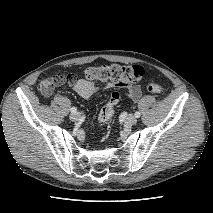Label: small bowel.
Returning <instances> with one entry per match:
<instances>
[{
  "mask_svg": "<svg viewBox=\"0 0 213 213\" xmlns=\"http://www.w3.org/2000/svg\"><path fill=\"white\" fill-rule=\"evenodd\" d=\"M63 83H57L54 81H49L45 85H40L41 93L44 96H51L55 88ZM71 88L83 99H88L93 93L100 89H110L115 86L112 82L98 83L88 79H77L68 83ZM141 91L138 86L129 87L128 96L131 100L136 101L140 97Z\"/></svg>",
  "mask_w": 213,
  "mask_h": 213,
  "instance_id": "1",
  "label": "small bowel"
}]
</instances>
